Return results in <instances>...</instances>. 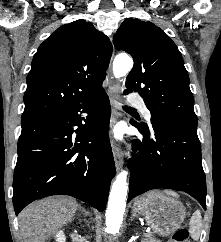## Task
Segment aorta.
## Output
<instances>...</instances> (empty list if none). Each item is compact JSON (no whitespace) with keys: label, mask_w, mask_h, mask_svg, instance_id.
I'll return each instance as SVG.
<instances>
[{"label":"aorta","mask_w":221,"mask_h":242,"mask_svg":"<svg viewBox=\"0 0 221 242\" xmlns=\"http://www.w3.org/2000/svg\"><path fill=\"white\" fill-rule=\"evenodd\" d=\"M133 67V60L127 55H118L113 62V74L115 78L126 76ZM127 171H122L116 176L112 185L108 200L106 216V232L114 234L118 232L123 220L128 193Z\"/></svg>","instance_id":"aorta-1"}]
</instances>
